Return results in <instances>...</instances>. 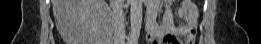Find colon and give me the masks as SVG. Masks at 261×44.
Wrapping results in <instances>:
<instances>
[{
    "instance_id": "colon-1",
    "label": "colon",
    "mask_w": 261,
    "mask_h": 44,
    "mask_svg": "<svg viewBox=\"0 0 261 44\" xmlns=\"http://www.w3.org/2000/svg\"><path fill=\"white\" fill-rule=\"evenodd\" d=\"M181 5H182V6H192V5H193V2H192V1H182V2H181Z\"/></svg>"
}]
</instances>
